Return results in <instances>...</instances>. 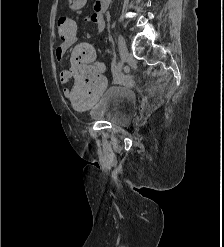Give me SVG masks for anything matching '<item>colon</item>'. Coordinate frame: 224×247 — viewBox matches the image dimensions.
Wrapping results in <instances>:
<instances>
[{"instance_id": "5ec220e1", "label": "colon", "mask_w": 224, "mask_h": 247, "mask_svg": "<svg viewBox=\"0 0 224 247\" xmlns=\"http://www.w3.org/2000/svg\"><path fill=\"white\" fill-rule=\"evenodd\" d=\"M77 32V23L73 19L59 18L57 33L62 40L76 38ZM95 56V49L89 44H80L73 52L69 73L75 86L70 90L69 100L77 108L93 105L106 87L105 78L93 64Z\"/></svg>"}]
</instances>
